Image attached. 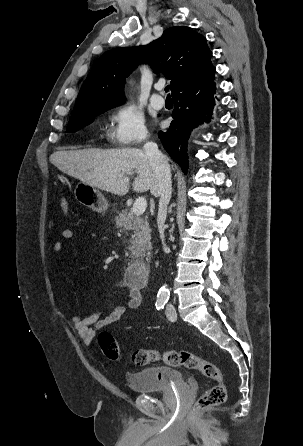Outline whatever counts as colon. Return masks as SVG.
Masks as SVG:
<instances>
[{
    "label": "colon",
    "mask_w": 303,
    "mask_h": 446,
    "mask_svg": "<svg viewBox=\"0 0 303 446\" xmlns=\"http://www.w3.org/2000/svg\"><path fill=\"white\" fill-rule=\"evenodd\" d=\"M61 208L64 213L69 212V203L66 199H61ZM98 344L108 359L119 360V344L112 334L109 332L100 333ZM131 360L139 366L161 361L174 367L182 366L187 369L199 370L205 377L213 380L214 384L197 400L193 409L194 412L217 406L226 399V385L222 372L213 363L203 360L190 351L180 350L161 353L155 349H138L132 353Z\"/></svg>",
    "instance_id": "obj_1"
}]
</instances>
